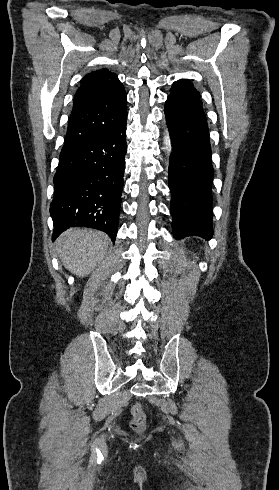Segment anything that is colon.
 <instances>
[{
	"label": "colon",
	"mask_w": 279,
	"mask_h": 490,
	"mask_svg": "<svg viewBox=\"0 0 279 490\" xmlns=\"http://www.w3.org/2000/svg\"><path fill=\"white\" fill-rule=\"evenodd\" d=\"M131 414H132V417H133V420H134V423L132 424V427L134 429H136L141 424H143V422L146 419V414H145V411H144V409H143V407L141 405L134 406L132 408V410H131Z\"/></svg>",
	"instance_id": "5ec220e1"
}]
</instances>
